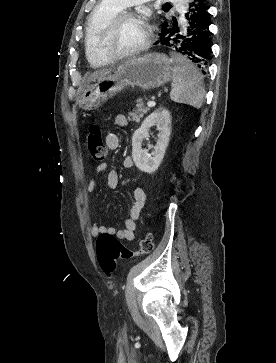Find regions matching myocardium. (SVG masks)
I'll return each mask as SVG.
<instances>
[{"label":"myocardium","mask_w":276,"mask_h":363,"mask_svg":"<svg viewBox=\"0 0 276 363\" xmlns=\"http://www.w3.org/2000/svg\"><path fill=\"white\" fill-rule=\"evenodd\" d=\"M131 18L141 19L146 26V36L144 40L134 49L125 52L113 51L108 43L109 38L115 33L120 24ZM153 33L151 26L147 20V17L143 12L136 11L134 9L120 10L104 27L100 35V44L104 54L112 61L122 60L137 56L143 53L150 45L152 41Z\"/></svg>","instance_id":"myocardium-1"}]
</instances>
